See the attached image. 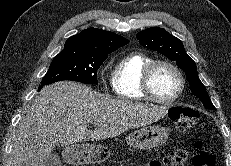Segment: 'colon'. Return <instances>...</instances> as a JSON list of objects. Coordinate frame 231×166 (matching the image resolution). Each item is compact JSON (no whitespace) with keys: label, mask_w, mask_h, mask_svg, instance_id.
I'll use <instances>...</instances> for the list:
<instances>
[{"label":"colon","mask_w":231,"mask_h":166,"mask_svg":"<svg viewBox=\"0 0 231 166\" xmlns=\"http://www.w3.org/2000/svg\"><path fill=\"white\" fill-rule=\"evenodd\" d=\"M168 116L179 131L186 132L197 122L199 113L192 108L174 107L168 111ZM196 148L197 152L192 158L193 166H215L214 156L200 142L196 144ZM186 158V152L178 149L168 154L162 162L151 160L144 166H185Z\"/></svg>","instance_id":"1"}]
</instances>
